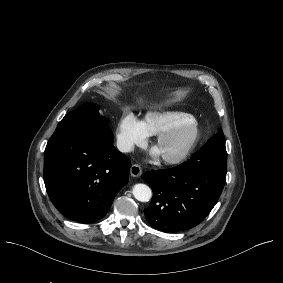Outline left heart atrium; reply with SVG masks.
I'll return each mask as SVG.
<instances>
[{"label": "left heart atrium", "mask_w": 283, "mask_h": 283, "mask_svg": "<svg viewBox=\"0 0 283 283\" xmlns=\"http://www.w3.org/2000/svg\"><path fill=\"white\" fill-rule=\"evenodd\" d=\"M146 157L152 160H157L162 157V153L157 145H153L147 150Z\"/></svg>", "instance_id": "1"}]
</instances>
